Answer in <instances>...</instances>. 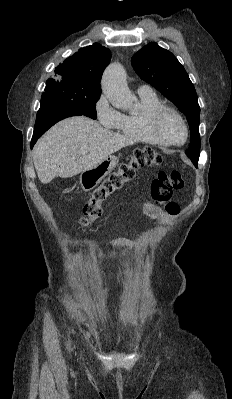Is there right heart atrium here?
Instances as JSON below:
<instances>
[{
	"label": "right heart atrium",
	"instance_id": "right-heart-atrium-1",
	"mask_svg": "<svg viewBox=\"0 0 232 399\" xmlns=\"http://www.w3.org/2000/svg\"><path fill=\"white\" fill-rule=\"evenodd\" d=\"M95 113L98 125H105V128L108 129L115 128L121 118V114L116 109L112 108L109 103H106V96H103L99 103L96 105Z\"/></svg>",
	"mask_w": 232,
	"mask_h": 399
}]
</instances>
